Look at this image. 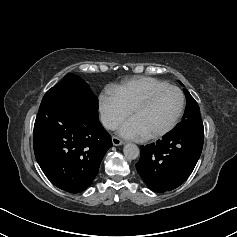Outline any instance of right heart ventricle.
Returning a JSON list of instances; mask_svg holds the SVG:
<instances>
[{
  "mask_svg": "<svg viewBox=\"0 0 237 237\" xmlns=\"http://www.w3.org/2000/svg\"><path fill=\"white\" fill-rule=\"evenodd\" d=\"M168 83L152 77H134L112 86L109 89L118 97L126 109L153 89L163 87Z\"/></svg>",
  "mask_w": 237,
  "mask_h": 237,
  "instance_id": "obj_1",
  "label": "right heart ventricle"
}]
</instances>
